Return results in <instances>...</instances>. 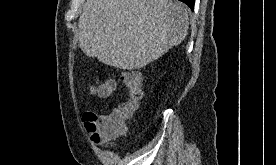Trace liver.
<instances>
[{
    "mask_svg": "<svg viewBox=\"0 0 276 165\" xmlns=\"http://www.w3.org/2000/svg\"><path fill=\"white\" fill-rule=\"evenodd\" d=\"M189 14L177 0H87L78 22L79 47L115 68H143L185 39Z\"/></svg>",
    "mask_w": 276,
    "mask_h": 165,
    "instance_id": "liver-1",
    "label": "liver"
}]
</instances>
